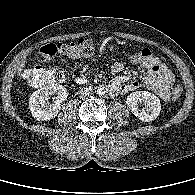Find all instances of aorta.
Listing matches in <instances>:
<instances>
[{"label": "aorta", "instance_id": "762f6f07", "mask_svg": "<svg viewBox=\"0 0 195 195\" xmlns=\"http://www.w3.org/2000/svg\"><path fill=\"white\" fill-rule=\"evenodd\" d=\"M99 96H102L105 93L104 87L98 86L95 91Z\"/></svg>", "mask_w": 195, "mask_h": 195}]
</instances>
